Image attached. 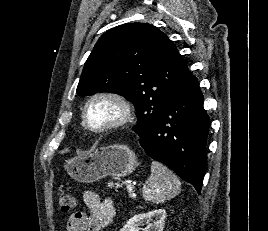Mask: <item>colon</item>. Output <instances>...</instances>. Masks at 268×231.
Instances as JSON below:
<instances>
[{
	"mask_svg": "<svg viewBox=\"0 0 268 231\" xmlns=\"http://www.w3.org/2000/svg\"><path fill=\"white\" fill-rule=\"evenodd\" d=\"M59 209L62 213H69L76 205V198L70 193H61L58 197Z\"/></svg>",
	"mask_w": 268,
	"mask_h": 231,
	"instance_id": "5ec220e1",
	"label": "colon"
}]
</instances>
